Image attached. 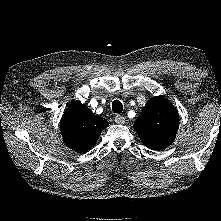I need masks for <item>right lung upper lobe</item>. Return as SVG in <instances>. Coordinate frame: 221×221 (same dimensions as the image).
I'll use <instances>...</instances> for the list:
<instances>
[{
	"label": "right lung upper lobe",
	"mask_w": 221,
	"mask_h": 221,
	"mask_svg": "<svg viewBox=\"0 0 221 221\" xmlns=\"http://www.w3.org/2000/svg\"><path fill=\"white\" fill-rule=\"evenodd\" d=\"M108 125L106 120L94 115L87 106L76 101L65 111L60 130L67 147L85 152L96 144L102 130Z\"/></svg>",
	"instance_id": "cb5924a9"
}]
</instances>
